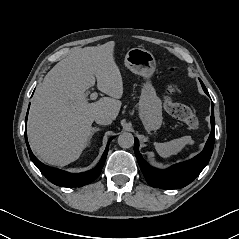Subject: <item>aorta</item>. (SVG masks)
<instances>
[{
    "instance_id": "762f6f07",
    "label": "aorta",
    "mask_w": 239,
    "mask_h": 239,
    "mask_svg": "<svg viewBox=\"0 0 239 239\" xmlns=\"http://www.w3.org/2000/svg\"><path fill=\"white\" fill-rule=\"evenodd\" d=\"M118 144L122 148H130L134 145V136L129 132H123L118 137Z\"/></svg>"
}]
</instances>
